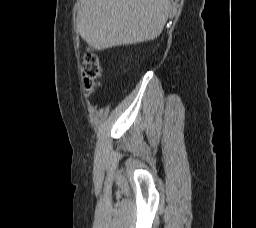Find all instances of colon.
Returning <instances> with one entry per match:
<instances>
[{
	"label": "colon",
	"instance_id": "5ec220e1",
	"mask_svg": "<svg viewBox=\"0 0 256 228\" xmlns=\"http://www.w3.org/2000/svg\"><path fill=\"white\" fill-rule=\"evenodd\" d=\"M83 68L85 86L88 92H92L98 84L102 69L98 58L90 51L83 57Z\"/></svg>",
	"mask_w": 256,
	"mask_h": 228
}]
</instances>
